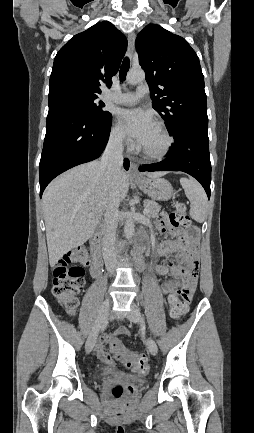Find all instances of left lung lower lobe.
I'll return each instance as SVG.
<instances>
[{"mask_svg":"<svg viewBox=\"0 0 254 433\" xmlns=\"http://www.w3.org/2000/svg\"><path fill=\"white\" fill-rule=\"evenodd\" d=\"M174 145L161 162L140 165V171H182L196 178L210 198L211 163L207 127L190 125L174 135Z\"/></svg>","mask_w":254,"mask_h":433,"instance_id":"1","label":"left lung lower lobe"}]
</instances>
